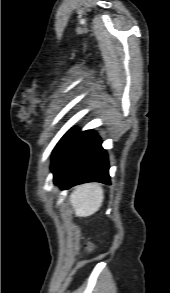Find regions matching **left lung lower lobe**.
<instances>
[{"label": "left lung lower lobe", "mask_w": 170, "mask_h": 293, "mask_svg": "<svg viewBox=\"0 0 170 293\" xmlns=\"http://www.w3.org/2000/svg\"><path fill=\"white\" fill-rule=\"evenodd\" d=\"M54 183L68 189L85 182L110 184L108 157L93 130L77 132L52 164Z\"/></svg>", "instance_id": "0a47b994"}]
</instances>
